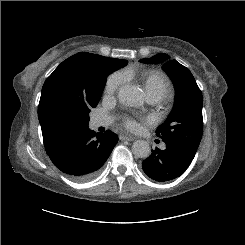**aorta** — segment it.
<instances>
[{
	"mask_svg": "<svg viewBox=\"0 0 245 245\" xmlns=\"http://www.w3.org/2000/svg\"><path fill=\"white\" fill-rule=\"evenodd\" d=\"M118 99L122 104L128 106H140L143 103L141 90L130 85L119 88ZM132 152L138 158H147L151 154V147L147 141L137 140L132 145Z\"/></svg>",
	"mask_w": 245,
	"mask_h": 245,
	"instance_id": "762f6f07",
	"label": "aorta"
}]
</instances>
